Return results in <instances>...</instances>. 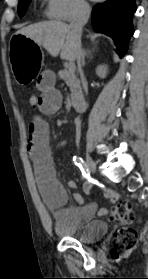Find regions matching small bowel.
I'll list each match as a JSON object with an SVG mask.
<instances>
[{"label":"small bowel","instance_id":"obj_1","mask_svg":"<svg viewBox=\"0 0 148 279\" xmlns=\"http://www.w3.org/2000/svg\"><path fill=\"white\" fill-rule=\"evenodd\" d=\"M37 87L40 90L36 107L38 111L43 115L56 113L62 106V96L56 87L54 72L51 70L43 71L38 77ZM29 132L28 154L34 165L40 193L47 206L54 210L62 221L72 225H78L91 219L95 213V207L83 205V199L79 194L73 195V199L77 203L76 207L63 209L67 201V194L55 176L49 145L50 131L46 121L41 117H36L30 124ZM67 185L70 188L76 187L73 180H69ZM105 197L113 204L118 201L117 193L112 190H107ZM106 213V209H100L97 212L100 216Z\"/></svg>","mask_w":148,"mask_h":279}]
</instances>
